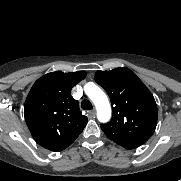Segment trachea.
I'll return each mask as SVG.
<instances>
[{
    "instance_id": "3493384b",
    "label": "trachea",
    "mask_w": 181,
    "mask_h": 181,
    "mask_svg": "<svg viewBox=\"0 0 181 181\" xmlns=\"http://www.w3.org/2000/svg\"><path fill=\"white\" fill-rule=\"evenodd\" d=\"M81 107L84 110H91L93 108V106L89 100H83L81 102Z\"/></svg>"
}]
</instances>
